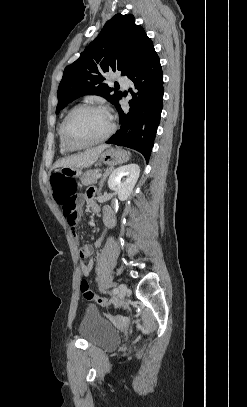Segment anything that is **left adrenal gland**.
<instances>
[{"label": "left adrenal gland", "mask_w": 247, "mask_h": 407, "mask_svg": "<svg viewBox=\"0 0 247 407\" xmlns=\"http://www.w3.org/2000/svg\"><path fill=\"white\" fill-rule=\"evenodd\" d=\"M111 171H112V168H108V169L105 170V172H104V174H103V176H102V178L100 180V183H99L98 193L101 192V190L103 188L104 181L106 180L107 176L110 174Z\"/></svg>", "instance_id": "1"}]
</instances>
